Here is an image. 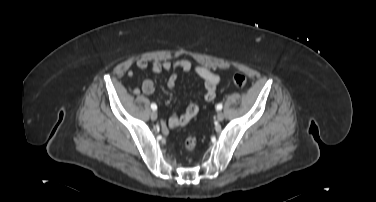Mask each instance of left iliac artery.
<instances>
[{"instance_id": "44dca946", "label": "left iliac artery", "mask_w": 376, "mask_h": 202, "mask_svg": "<svg viewBox=\"0 0 376 202\" xmlns=\"http://www.w3.org/2000/svg\"><path fill=\"white\" fill-rule=\"evenodd\" d=\"M222 107H223V106H222V104H221V103H219V104H217V106H216V109H217V110H221V109H222Z\"/></svg>"}]
</instances>
